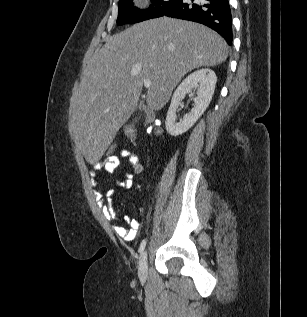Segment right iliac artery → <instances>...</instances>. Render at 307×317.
<instances>
[{
    "mask_svg": "<svg viewBox=\"0 0 307 317\" xmlns=\"http://www.w3.org/2000/svg\"><path fill=\"white\" fill-rule=\"evenodd\" d=\"M146 242H147L146 239H144V240L141 242L140 247H139V252H140V253H142V252L144 251L145 246H146Z\"/></svg>",
    "mask_w": 307,
    "mask_h": 317,
    "instance_id": "1",
    "label": "right iliac artery"
}]
</instances>
